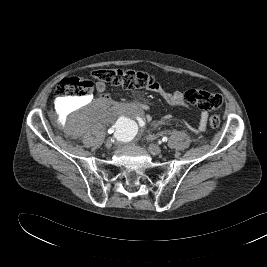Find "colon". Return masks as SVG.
Returning a JSON list of instances; mask_svg holds the SVG:
<instances>
[{
  "instance_id": "obj_1",
  "label": "colon",
  "mask_w": 267,
  "mask_h": 267,
  "mask_svg": "<svg viewBox=\"0 0 267 267\" xmlns=\"http://www.w3.org/2000/svg\"><path fill=\"white\" fill-rule=\"evenodd\" d=\"M92 77L100 82L108 83L124 89H152L158 83L155 77L149 73L124 69H96ZM94 88V82L84 78H65L55 87L54 94L60 98L86 97ZM187 103L197 106L202 110H217L221 108L223 99L219 94L200 89H190L184 93ZM212 128L220 127L221 120L217 115L209 118Z\"/></svg>"
}]
</instances>
